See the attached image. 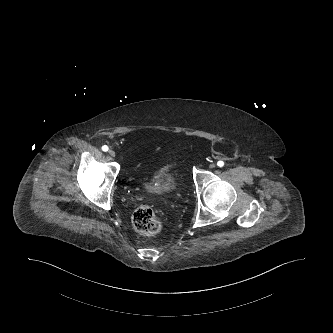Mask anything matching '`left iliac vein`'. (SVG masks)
Masks as SVG:
<instances>
[{"label": "left iliac vein", "mask_w": 333, "mask_h": 333, "mask_svg": "<svg viewBox=\"0 0 333 333\" xmlns=\"http://www.w3.org/2000/svg\"><path fill=\"white\" fill-rule=\"evenodd\" d=\"M209 167L212 169V168L215 167V164L212 163V164L209 165Z\"/></svg>", "instance_id": "obj_1"}]
</instances>
